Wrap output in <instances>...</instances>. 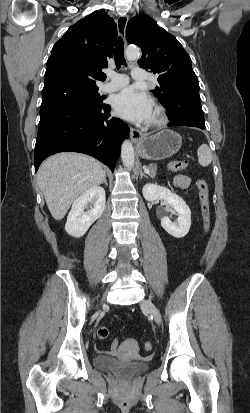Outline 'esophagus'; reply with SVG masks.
Here are the masks:
<instances>
[{
	"mask_svg": "<svg viewBox=\"0 0 250 413\" xmlns=\"http://www.w3.org/2000/svg\"><path fill=\"white\" fill-rule=\"evenodd\" d=\"M128 23V16L121 15L118 17L116 24L118 29V34L125 39V30ZM142 137V133L139 130L134 129L133 127L130 128V138L135 143Z\"/></svg>",
	"mask_w": 250,
	"mask_h": 413,
	"instance_id": "1",
	"label": "esophagus"
}]
</instances>
